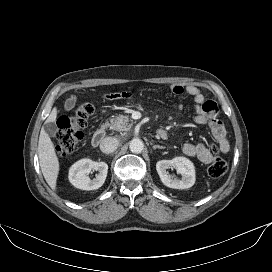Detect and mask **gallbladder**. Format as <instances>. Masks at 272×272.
Returning <instances> with one entry per match:
<instances>
[{
	"mask_svg": "<svg viewBox=\"0 0 272 272\" xmlns=\"http://www.w3.org/2000/svg\"><path fill=\"white\" fill-rule=\"evenodd\" d=\"M43 128L50 137H55L57 132V126L54 122L46 123Z\"/></svg>",
	"mask_w": 272,
	"mask_h": 272,
	"instance_id": "1",
	"label": "gallbladder"
}]
</instances>
